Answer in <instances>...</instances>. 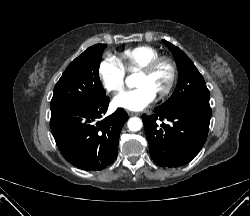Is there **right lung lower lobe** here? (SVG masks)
Masks as SVG:
<instances>
[{
  "label": "right lung lower lobe",
  "instance_id": "obj_1",
  "mask_svg": "<svg viewBox=\"0 0 250 216\" xmlns=\"http://www.w3.org/2000/svg\"><path fill=\"white\" fill-rule=\"evenodd\" d=\"M109 100L106 96L95 103L51 115V131L60 152L78 168L102 170L117 157L120 131L128 115L118 108L103 118Z\"/></svg>",
  "mask_w": 250,
  "mask_h": 216
}]
</instances>
